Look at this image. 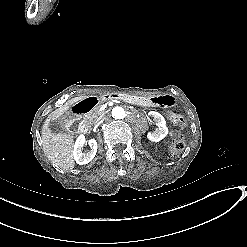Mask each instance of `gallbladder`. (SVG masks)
I'll list each match as a JSON object with an SVG mask.
<instances>
[{"label": "gallbladder", "instance_id": "gallbladder-1", "mask_svg": "<svg viewBox=\"0 0 247 247\" xmlns=\"http://www.w3.org/2000/svg\"><path fill=\"white\" fill-rule=\"evenodd\" d=\"M42 127L43 129L48 130L49 133L51 134L63 133L65 135H68V132L62 130V128L60 127V123H58L57 121H53L51 119H48L45 122H43Z\"/></svg>", "mask_w": 247, "mask_h": 247}]
</instances>
